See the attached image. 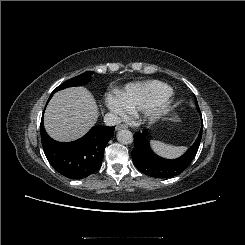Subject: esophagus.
Instances as JSON below:
<instances>
[{"instance_id":"34e87169","label":"esophagus","mask_w":245,"mask_h":245,"mask_svg":"<svg viewBox=\"0 0 245 245\" xmlns=\"http://www.w3.org/2000/svg\"><path fill=\"white\" fill-rule=\"evenodd\" d=\"M128 126L126 124H119L116 126V130L127 129Z\"/></svg>"}]
</instances>
